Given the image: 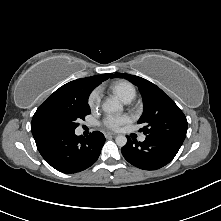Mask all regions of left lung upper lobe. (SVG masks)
<instances>
[{"label": "left lung upper lobe", "mask_w": 221, "mask_h": 221, "mask_svg": "<svg viewBox=\"0 0 221 221\" xmlns=\"http://www.w3.org/2000/svg\"><path fill=\"white\" fill-rule=\"evenodd\" d=\"M112 77L125 78L135 84L143 97L144 111L138 124L148 137H170L184 140L187 119L175 102L150 81L130 74L116 73Z\"/></svg>", "instance_id": "left-lung-upper-lobe-1"}]
</instances>
